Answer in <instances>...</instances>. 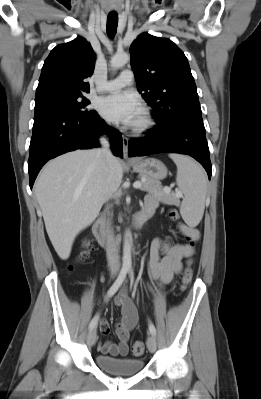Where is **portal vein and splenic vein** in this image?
Wrapping results in <instances>:
<instances>
[{
  "instance_id": "obj_1",
  "label": "portal vein and splenic vein",
  "mask_w": 261,
  "mask_h": 399,
  "mask_svg": "<svg viewBox=\"0 0 261 399\" xmlns=\"http://www.w3.org/2000/svg\"><path fill=\"white\" fill-rule=\"evenodd\" d=\"M145 180H143V182H144ZM133 187L134 188H141L142 187V183L140 182V181H136V182H134V184H133ZM170 188H167L165 191H167V192H170ZM176 195L177 196H182V193L180 192V191H177L176 192Z\"/></svg>"
}]
</instances>
